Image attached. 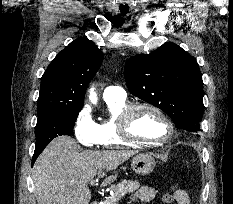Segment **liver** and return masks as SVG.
<instances>
[{
    "label": "liver",
    "instance_id": "6515ba94",
    "mask_svg": "<svg viewBox=\"0 0 233 204\" xmlns=\"http://www.w3.org/2000/svg\"><path fill=\"white\" fill-rule=\"evenodd\" d=\"M136 151H79L77 142L69 136L54 138L37 158L33 167L34 194L37 204H89L88 183L97 175L106 176ZM106 177L102 186L115 181Z\"/></svg>",
    "mask_w": 233,
    "mask_h": 204
}]
</instances>
